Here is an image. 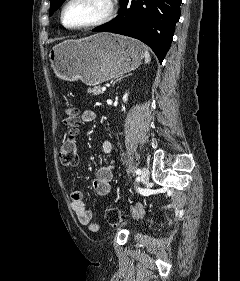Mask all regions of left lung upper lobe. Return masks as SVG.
Here are the masks:
<instances>
[{"mask_svg": "<svg viewBox=\"0 0 240 281\" xmlns=\"http://www.w3.org/2000/svg\"><path fill=\"white\" fill-rule=\"evenodd\" d=\"M65 0H50V15H52Z\"/></svg>", "mask_w": 240, "mask_h": 281, "instance_id": "5c2ea615", "label": "left lung upper lobe"}]
</instances>
